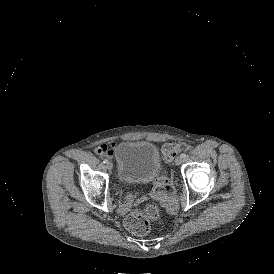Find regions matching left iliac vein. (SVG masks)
<instances>
[{"label":"left iliac vein","mask_w":274,"mask_h":274,"mask_svg":"<svg viewBox=\"0 0 274 274\" xmlns=\"http://www.w3.org/2000/svg\"><path fill=\"white\" fill-rule=\"evenodd\" d=\"M182 163V158L180 156H177L175 159V165L179 166Z\"/></svg>","instance_id":"1"}]
</instances>
